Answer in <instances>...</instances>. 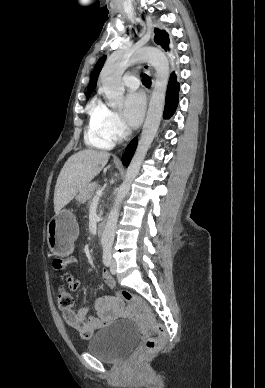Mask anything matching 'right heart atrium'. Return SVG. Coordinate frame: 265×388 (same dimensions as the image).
Listing matches in <instances>:
<instances>
[{"label": "right heart atrium", "mask_w": 265, "mask_h": 388, "mask_svg": "<svg viewBox=\"0 0 265 388\" xmlns=\"http://www.w3.org/2000/svg\"><path fill=\"white\" fill-rule=\"evenodd\" d=\"M101 120L104 132L113 139L123 138L129 132L122 117L105 105H102L101 108Z\"/></svg>", "instance_id": "d8ad5b80"}]
</instances>
